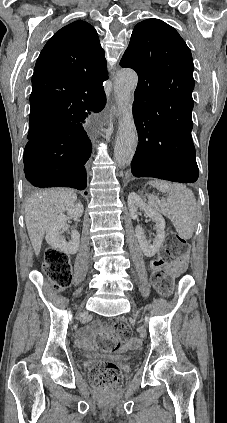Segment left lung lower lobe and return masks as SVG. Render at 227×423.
<instances>
[{
    "instance_id": "1",
    "label": "left lung lower lobe",
    "mask_w": 227,
    "mask_h": 423,
    "mask_svg": "<svg viewBox=\"0 0 227 423\" xmlns=\"http://www.w3.org/2000/svg\"><path fill=\"white\" fill-rule=\"evenodd\" d=\"M139 143L131 163L136 177L193 183L198 178L191 112L133 107Z\"/></svg>"
}]
</instances>
